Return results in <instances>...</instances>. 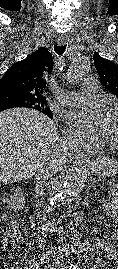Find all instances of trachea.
Here are the masks:
<instances>
[{"label":"trachea","instance_id":"trachea-1","mask_svg":"<svg viewBox=\"0 0 118 269\" xmlns=\"http://www.w3.org/2000/svg\"><path fill=\"white\" fill-rule=\"evenodd\" d=\"M66 44L64 45H54V51L55 53H57L58 55H63V53L66 50Z\"/></svg>","mask_w":118,"mask_h":269}]
</instances>
